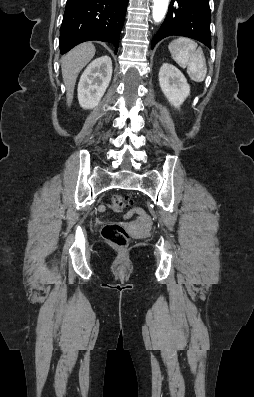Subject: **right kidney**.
Returning <instances> with one entry per match:
<instances>
[{
  "label": "right kidney",
  "mask_w": 254,
  "mask_h": 397,
  "mask_svg": "<svg viewBox=\"0 0 254 397\" xmlns=\"http://www.w3.org/2000/svg\"><path fill=\"white\" fill-rule=\"evenodd\" d=\"M112 77V61L107 55L92 61L81 75L78 84V100L84 109L98 105Z\"/></svg>",
  "instance_id": "ca27d5eb"
}]
</instances>
